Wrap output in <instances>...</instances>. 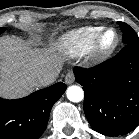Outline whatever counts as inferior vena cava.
<instances>
[{"instance_id": "1", "label": "inferior vena cava", "mask_w": 139, "mask_h": 139, "mask_svg": "<svg viewBox=\"0 0 139 139\" xmlns=\"http://www.w3.org/2000/svg\"><path fill=\"white\" fill-rule=\"evenodd\" d=\"M59 70H48L42 72L35 81L37 87H47L51 85L57 78Z\"/></svg>"}]
</instances>
